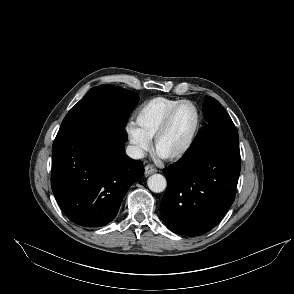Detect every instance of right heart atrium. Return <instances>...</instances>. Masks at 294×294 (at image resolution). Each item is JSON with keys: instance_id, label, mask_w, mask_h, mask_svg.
I'll return each instance as SVG.
<instances>
[{"instance_id": "1", "label": "right heart atrium", "mask_w": 294, "mask_h": 294, "mask_svg": "<svg viewBox=\"0 0 294 294\" xmlns=\"http://www.w3.org/2000/svg\"><path fill=\"white\" fill-rule=\"evenodd\" d=\"M129 141L133 144L138 154H143L150 147V140L138 129V127L130 122L126 127Z\"/></svg>"}]
</instances>
